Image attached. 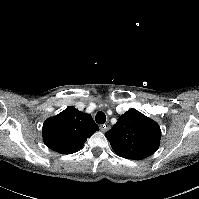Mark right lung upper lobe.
I'll use <instances>...</instances> for the list:
<instances>
[{
	"label": "right lung upper lobe",
	"mask_w": 199,
	"mask_h": 199,
	"mask_svg": "<svg viewBox=\"0 0 199 199\" xmlns=\"http://www.w3.org/2000/svg\"><path fill=\"white\" fill-rule=\"evenodd\" d=\"M98 130L90 114L68 107L44 122L42 136L50 149L70 154L78 151Z\"/></svg>",
	"instance_id": "1"
}]
</instances>
